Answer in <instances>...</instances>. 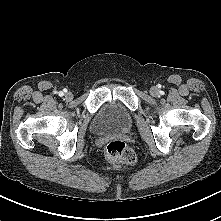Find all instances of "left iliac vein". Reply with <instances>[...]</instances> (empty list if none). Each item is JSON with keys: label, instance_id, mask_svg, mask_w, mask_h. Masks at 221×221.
Here are the masks:
<instances>
[{"label": "left iliac vein", "instance_id": "4c4485c4", "mask_svg": "<svg viewBox=\"0 0 221 221\" xmlns=\"http://www.w3.org/2000/svg\"><path fill=\"white\" fill-rule=\"evenodd\" d=\"M150 94H151L153 97L158 96L159 91H158L157 87H155V86L151 87V89H150Z\"/></svg>", "mask_w": 221, "mask_h": 221}]
</instances>
